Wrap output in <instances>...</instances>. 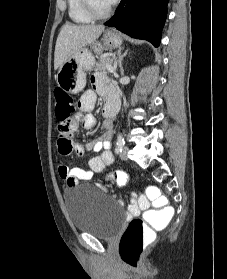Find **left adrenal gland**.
Segmentation results:
<instances>
[{
	"instance_id": "1",
	"label": "left adrenal gland",
	"mask_w": 227,
	"mask_h": 279,
	"mask_svg": "<svg viewBox=\"0 0 227 279\" xmlns=\"http://www.w3.org/2000/svg\"><path fill=\"white\" fill-rule=\"evenodd\" d=\"M126 54H127V51L124 54H121V49L118 50V53H117V56H118L117 63L119 65L121 75H124V69L122 67V60H123V57H125Z\"/></svg>"
}]
</instances>
